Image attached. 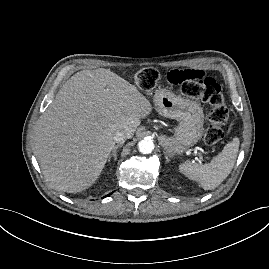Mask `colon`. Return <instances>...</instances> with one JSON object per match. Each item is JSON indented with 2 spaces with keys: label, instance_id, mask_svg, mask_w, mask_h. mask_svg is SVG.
<instances>
[{
  "label": "colon",
  "instance_id": "5ec220e1",
  "mask_svg": "<svg viewBox=\"0 0 269 269\" xmlns=\"http://www.w3.org/2000/svg\"><path fill=\"white\" fill-rule=\"evenodd\" d=\"M160 79V72L152 67L143 68L137 71L133 76V81L136 86L144 91L154 89ZM175 85H180L184 95L199 99L201 102L210 105L209 125L206 129L204 139L206 143L210 145L220 142L224 138L223 126L228 121L229 111L225 104L221 85L218 81L213 77L206 76L203 80L194 79Z\"/></svg>",
  "mask_w": 269,
  "mask_h": 269
}]
</instances>
